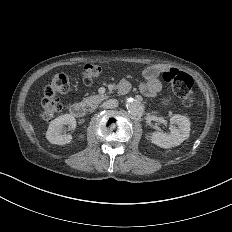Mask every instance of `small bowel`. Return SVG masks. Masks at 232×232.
Segmentation results:
<instances>
[{"mask_svg":"<svg viewBox=\"0 0 232 232\" xmlns=\"http://www.w3.org/2000/svg\"><path fill=\"white\" fill-rule=\"evenodd\" d=\"M157 70L158 67L153 66L145 74V78L147 81L143 86V91L149 97L154 96L160 88L159 82L155 77Z\"/></svg>","mask_w":232,"mask_h":232,"instance_id":"1","label":"small bowel"}]
</instances>
